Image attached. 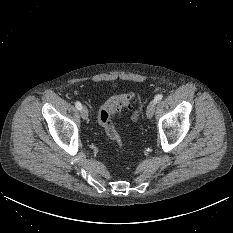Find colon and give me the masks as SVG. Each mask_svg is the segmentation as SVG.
I'll use <instances>...</instances> for the list:
<instances>
[{"instance_id":"1","label":"colon","mask_w":233,"mask_h":233,"mask_svg":"<svg viewBox=\"0 0 233 233\" xmlns=\"http://www.w3.org/2000/svg\"><path fill=\"white\" fill-rule=\"evenodd\" d=\"M135 102V96L131 93L117 94L108 99L98 111V122L104 129L108 138L113 141L119 149L124 147V137L117 130L112 117L126 110H131ZM139 118V114L134 112L132 114V120L136 121Z\"/></svg>"}]
</instances>
